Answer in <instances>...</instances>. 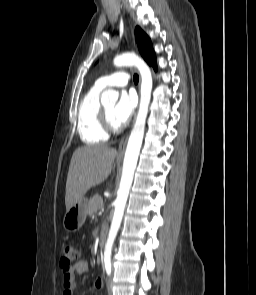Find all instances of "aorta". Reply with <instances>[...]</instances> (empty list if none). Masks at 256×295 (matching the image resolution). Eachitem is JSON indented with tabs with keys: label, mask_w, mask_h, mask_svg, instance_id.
Returning a JSON list of instances; mask_svg holds the SVG:
<instances>
[{
	"label": "aorta",
	"mask_w": 256,
	"mask_h": 295,
	"mask_svg": "<svg viewBox=\"0 0 256 295\" xmlns=\"http://www.w3.org/2000/svg\"><path fill=\"white\" fill-rule=\"evenodd\" d=\"M114 65L116 67L135 66L138 68L141 75V97L136 122L131 131L124 156L122 177L117 193V198L115 200L114 215L104 249L105 261H110L111 259L112 247L121 225L127 198L132 185L133 176L143 141L145 123L153 85L152 74L149 67L137 55L133 53H124L120 56H117L114 59ZM117 100L118 92L114 90H106L101 95V103L104 105L109 103L115 104Z\"/></svg>",
	"instance_id": "1"
}]
</instances>
